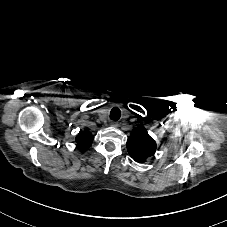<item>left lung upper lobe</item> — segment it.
I'll list each match as a JSON object with an SVG mask.
<instances>
[{"label": "left lung upper lobe", "instance_id": "obj_1", "mask_svg": "<svg viewBox=\"0 0 227 227\" xmlns=\"http://www.w3.org/2000/svg\"><path fill=\"white\" fill-rule=\"evenodd\" d=\"M156 148V142L149 136L145 127L134 128L130 133L127 150L136 162H145L154 155Z\"/></svg>", "mask_w": 227, "mask_h": 227}]
</instances>
